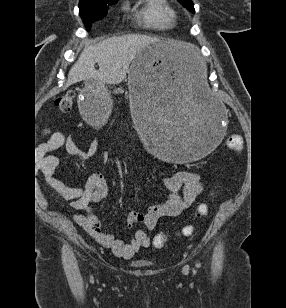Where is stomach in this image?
I'll list each match as a JSON object with an SVG mask.
<instances>
[{
    "label": "stomach",
    "instance_id": "stomach-1",
    "mask_svg": "<svg viewBox=\"0 0 286 308\" xmlns=\"http://www.w3.org/2000/svg\"><path fill=\"white\" fill-rule=\"evenodd\" d=\"M198 44L159 40L145 44L128 71L134 125H142L149 159H164L169 168L196 164L226 144L224 100L212 96L205 56ZM110 85L88 79L80 90L79 110L88 124L111 115Z\"/></svg>",
    "mask_w": 286,
    "mask_h": 308
}]
</instances>
